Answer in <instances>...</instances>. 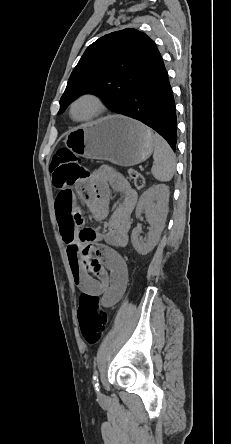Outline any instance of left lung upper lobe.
<instances>
[{
	"instance_id": "obj_1",
	"label": "left lung upper lobe",
	"mask_w": 231,
	"mask_h": 444,
	"mask_svg": "<svg viewBox=\"0 0 231 444\" xmlns=\"http://www.w3.org/2000/svg\"><path fill=\"white\" fill-rule=\"evenodd\" d=\"M158 54L153 40L133 28L99 38L86 49L72 71L58 113L87 93L98 94L118 113L143 70Z\"/></svg>"
}]
</instances>
